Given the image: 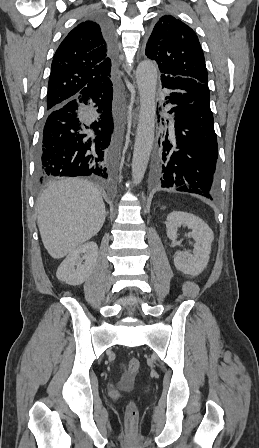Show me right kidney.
Returning a JSON list of instances; mask_svg holds the SVG:
<instances>
[{"mask_svg":"<svg viewBox=\"0 0 259 448\" xmlns=\"http://www.w3.org/2000/svg\"><path fill=\"white\" fill-rule=\"evenodd\" d=\"M82 256V258H81ZM98 258V246L95 242H87L70 252L57 270V278L60 282H66L70 286H80L91 276ZM82 260H85L81 264ZM77 266V268H75Z\"/></svg>","mask_w":259,"mask_h":448,"instance_id":"obj_1","label":"right kidney"}]
</instances>
